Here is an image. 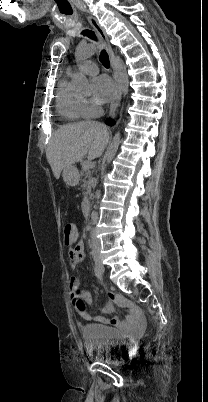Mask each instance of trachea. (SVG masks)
<instances>
[{
  "instance_id": "1",
  "label": "trachea",
  "mask_w": 208,
  "mask_h": 402,
  "mask_svg": "<svg viewBox=\"0 0 208 402\" xmlns=\"http://www.w3.org/2000/svg\"><path fill=\"white\" fill-rule=\"evenodd\" d=\"M82 33H83V35H86L87 37L91 38L92 40H97L95 33L92 32L91 30H84ZM99 60L104 65V67L109 68L110 61H109L108 54L106 53L105 50L101 51Z\"/></svg>"
}]
</instances>
